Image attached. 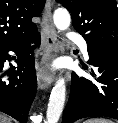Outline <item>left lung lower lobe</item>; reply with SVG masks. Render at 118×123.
<instances>
[{
	"label": "left lung lower lobe",
	"mask_w": 118,
	"mask_h": 123,
	"mask_svg": "<svg viewBox=\"0 0 118 123\" xmlns=\"http://www.w3.org/2000/svg\"><path fill=\"white\" fill-rule=\"evenodd\" d=\"M87 50L88 63L95 67V72L91 69L94 81L72 73L71 92L62 123L91 116L118 119V55L92 47Z\"/></svg>",
	"instance_id": "left-lung-lower-lobe-1"
}]
</instances>
